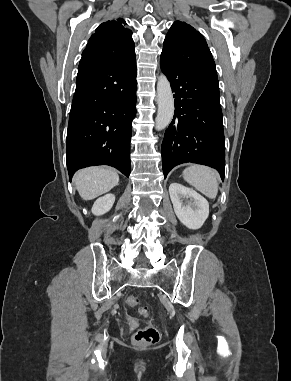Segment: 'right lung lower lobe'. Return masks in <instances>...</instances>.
Wrapping results in <instances>:
<instances>
[{"label":"right lung lower lobe","mask_w":291,"mask_h":381,"mask_svg":"<svg viewBox=\"0 0 291 381\" xmlns=\"http://www.w3.org/2000/svg\"><path fill=\"white\" fill-rule=\"evenodd\" d=\"M136 90L135 53L116 62L79 64L67 131L70 178L94 165L113 166L129 177Z\"/></svg>","instance_id":"right-lung-lower-lobe-1"}]
</instances>
